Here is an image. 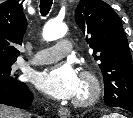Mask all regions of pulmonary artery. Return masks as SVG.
Segmentation results:
<instances>
[{
  "mask_svg": "<svg viewBox=\"0 0 133 118\" xmlns=\"http://www.w3.org/2000/svg\"><path fill=\"white\" fill-rule=\"evenodd\" d=\"M72 48V44L67 39H61L55 45L40 50L36 53L32 64H48L61 60L65 57Z\"/></svg>",
  "mask_w": 133,
  "mask_h": 118,
  "instance_id": "1",
  "label": "pulmonary artery"
}]
</instances>
